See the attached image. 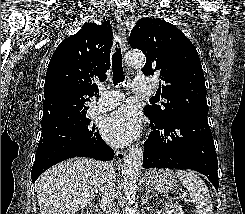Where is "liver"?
<instances>
[{
  "mask_svg": "<svg viewBox=\"0 0 245 214\" xmlns=\"http://www.w3.org/2000/svg\"><path fill=\"white\" fill-rule=\"evenodd\" d=\"M106 163L71 159L45 171L37 181L40 214H75L96 197Z\"/></svg>",
  "mask_w": 245,
  "mask_h": 214,
  "instance_id": "liver-1",
  "label": "liver"
}]
</instances>
